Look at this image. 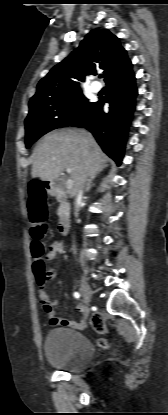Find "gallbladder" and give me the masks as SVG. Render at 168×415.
<instances>
[{
    "label": "gallbladder",
    "instance_id": "gallbladder-1",
    "mask_svg": "<svg viewBox=\"0 0 168 415\" xmlns=\"http://www.w3.org/2000/svg\"><path fill=\"white\" fill-rule=\"evenodd\" d=\"M53 184H54L55 187H60L63 184V181L61 179L57 178L53 181Z\"/></svg>",
    "mask_w": 168,
    "mask_h": 415
}]
</instances>
